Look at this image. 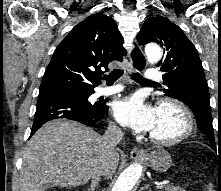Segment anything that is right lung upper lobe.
Masks as SVG:
<instances>
[{
  "mask_svg": "<svg viewBox=\"0 0 221 191\" xmlns=\"http://www.w3.org/2000/svg\"><path fill=\"white\" fill-rule=\"evenodd\" d=\"M126 54L116 22L103 13L77 24L55 49L40 90L66 88L91 91L101 81V68Z\"/></svg>",
  "mask_w": 221,
  "mask_h": 191,
  "instance_id": "right-lung-upper-lobe-1",
  "label": "right lung upper lobe"
}]
</instances>
